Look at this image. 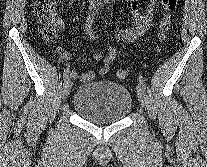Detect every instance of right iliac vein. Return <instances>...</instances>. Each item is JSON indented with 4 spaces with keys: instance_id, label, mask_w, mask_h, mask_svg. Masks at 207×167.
Masks as SVG:
<instances>
[{
    "instance_id": "right-iliac-vein-1",
    "label": "right iliac vein",
    "mask_w": 207,
    "mask_h": 167,
    "mask_svg": "<svg viewBox=\"0 0 207 167\" xmlns=\"http://www.w3.org/2000/svg\"><path fill=\"white\" fill-rule=\"evenodd\" d=\"M72 87V81L70 78H67L63 84L62 88V99L65 100L70 93Z\"/></svg>"
}]
</instances>
